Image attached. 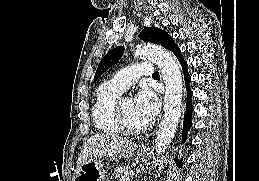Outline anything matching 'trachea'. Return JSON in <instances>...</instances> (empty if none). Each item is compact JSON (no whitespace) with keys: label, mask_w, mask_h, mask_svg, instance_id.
Instances as JSON below:
<instances>
[{"label":"trachea","mask_w":259,"mask_h":181,"mask_svg":"<svg viewBox=\"0 0 259 181\" xmlns=\"http://www.w3.org/2000/svg\"><path fill=\"white\" fill-rule=\"evenodd\" d=\"M152 76H159V72L158 71L154 72Z\"/></svg>","instance_id":"3493384b"}]
</instances>
